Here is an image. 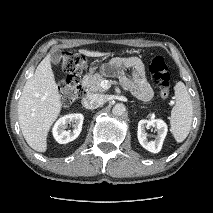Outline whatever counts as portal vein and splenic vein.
Listing matches in <instances>:
<instances>
[{
    "mask_svg": "<svg viewBox=\"0 0 213 213\" xmlns=\"http://www.w3.org/2000/svg\"><path fill=\"white\" fill-rule=\"evenodd\" d=\"M101 86H102L103 89H108V88H110L111 85L107 80H103L101 82Z\"/></svg>",
    "mask_w": 213,
    "mask_h": 213,
    "instance_id": "portal-vein-and-splenic-vein-1",
    "label": "portal vein and splenic vein"
}]
</instances>
